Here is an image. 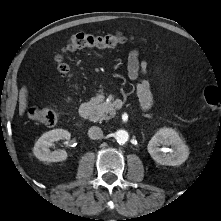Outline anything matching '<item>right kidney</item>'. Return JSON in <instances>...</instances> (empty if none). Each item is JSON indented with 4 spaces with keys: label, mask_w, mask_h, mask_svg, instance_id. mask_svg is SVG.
Returning <instances> with one entry per match:
<instances>
[{
    "label": "right kidney",
    "mask_w": 221,
    "mask_h": 221,
    "mask_svg": "<svg viewBox=\"0 0 221 221\" xmlns=\"http://www.w3.org/2000/svg\"><path fill=\"white\" fill-rule=\"evenodd\" d=\"M71 134L67 130L54 129L44 133L35 143L33 153L40 161L59 162L67 159L65 150L50 151L55 141L70 140Z\"/></svg>",
    "instance_id": "right-kidney-1"
}]
</instances>
